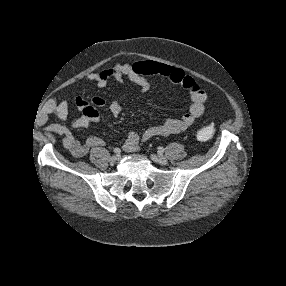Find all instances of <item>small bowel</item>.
Listing matches in <instances>:
<instances>
[{"instance_id": "small-bowel-1", "label": "small bowel", "mask_w": 286, "mask_h": 286, "mask_svg": "<svg viewBox=\"0 0 286 286\" xmlns=\"http://www.w3.org/2000/svg\"><path fill=\"white\" fill-rule=\"evenodd\" d=\"M149 76L165 78L182 86L188 93L190 105L186 113L180 118H168L160 124L148 127L141 135L137 132H130L123 144V149L127 152H134L140 148L143 142L155 136H164L182 132L199 119L205 111L207 95L199 84L182 69L160 64L152 61H138L132 64H115L101 72L90 74L87 79L99 88H104L110 79H115L120 83L127 78L142 92H147L151 88ZM76 106L81 111V115L73 117L70 125L74 128H85L91 123L100 121L98 108L105 105L101 97H94L91 104L81 97L76 98ZM122 110L118 99L113 100L109 105V111L117 116ZM49 112L58 119L68 118L69 107L65 101H53L49 105ZM50 129L64 136L62 145L72 156L78 158L84 156L90 147L101 146L104 142L100 137L89 136L85 143H81L65 126L53 124Z\"/></svg>"}]
</instances>
